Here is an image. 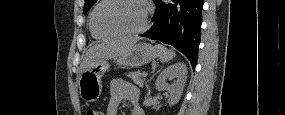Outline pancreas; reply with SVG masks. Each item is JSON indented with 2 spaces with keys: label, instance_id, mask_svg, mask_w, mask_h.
<instances>
[{
  "label": "pancreas",
  "instance_id": "obj_1",
  "mask_svg": "<svg viewBox=\"0 0 285 115\" xmlns=\"http://www.w3.org/2000/svg\"><path fill=\"white\" fill-rule=\"evenodd\" d=\"M128 78L132 79L139 87H143L144 80L142 79V73L140 71L129 72L126 74Z\"/></svg>",
  "mask_w": 285,
  "mask_h": 115
}]
</instances>
